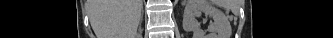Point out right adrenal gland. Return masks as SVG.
Instances as JSON below:
<instances>
[{
	"mask_svg": "<svg viewBox=\"0 0 333 38\" xmlns=\"http://www.w3.org/2000/svg\"><path fill=\"white\" fill-rule=\"evenodd\" d=\"M142 18H143V15L141 16V19H140V26H141Z\"/></svg>",
	"mask_w": 333,
	"mask_h": 38,
	"instance_id": "1",
	"label": "right adrenal gland"
}]
</instances>
